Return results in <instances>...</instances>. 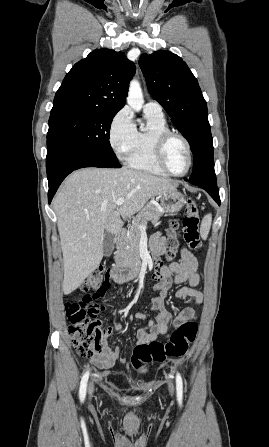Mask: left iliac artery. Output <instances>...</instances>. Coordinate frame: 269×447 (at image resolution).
I'll list each match as a JSON object with an SVG mask.
<instances>
[{
  "instance_id": "1",
  "label": "left iliac artery",
  "mask_w": 269,
  "mask_h": 447,
  "mask_svg": "<svg viewBox=\"0 0 269 447\" xmlns=\"http://www.w3.org/2000/svg\"><path fill=\"white\" fill-rule=\"evenodd\" d=\"M176 390H177V399L178 402L182 403V396H183V383L182 378L179 373L176 375Z\"/></svg>"
}]
</instances>
